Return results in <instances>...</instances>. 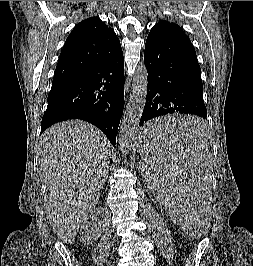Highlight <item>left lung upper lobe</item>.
<instances>
[{
    "instance_id": "1",
    "label": "left lung upper lobe",
    "mask_w": 253,
    "mask_h": 266,
    "mask_svg": "<svg viewBox=\"0 0 253 266\" xmlns=\"http://www.w3.org/2000/svg\"><path fill=\"white\" fill-rule=\"evenodd\" d=\"M161 25H168L170 26L173 30L175 31H180V32H183L184 31L175 23H171V22H168V21H160L158 22L154 27H157V26H161Z\"/></svg>"
}]
</instances>
